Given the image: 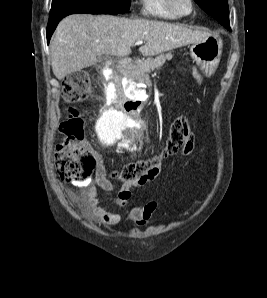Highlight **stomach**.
<instances>
[{"label": "stomach", "mask_w": 267, "mask_h": 298, "mask_svg": "<svg viewBox=\"0 0 267 298\" xmlns=\"http://www.w3.org/2000/svg\"><path fill=\"white\" fill-rule=\"evenodd\" d=\"M222 40L220 37L210 35L203 41L192 43L191 57L198 66L209 76L217 67L222 54Z\"/></svg>", "instance_id": "1"}]
</instances>
